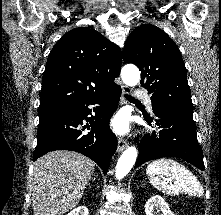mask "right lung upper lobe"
I'll return each instance as SVG.
<instances>
[{
	"label": "right lung upper lobe",
	"instance_id": "obj_1",
	"mask_svg": "<svg viewBox=\"0 0 221 215\" xmlns=\"http://www.w3.org/2000/svg\"><path fill=\"white\" fill-rule=\"evenodd\" d=\"M121 49L94 29L67 32L45 67L39 116L57 113L113 85L120 74Z\"/></svg>",
	"mask_w": 221,
	"mask_h": 215
}]
</instances>
